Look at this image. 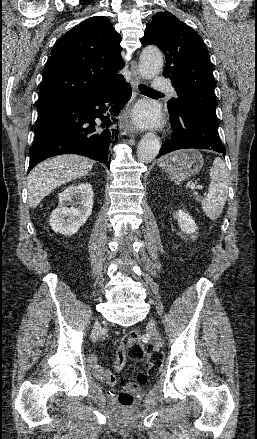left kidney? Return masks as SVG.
Segmentation results:
<instances>
[{
    "label": "left kidney",
    "instance_id": "5707ae66",
    "mask_svg": "<svg viewBox=\"0 0 257 439\" xmlns=\"http://www.w3.org/2000/svg\"><path fill=\"white\" fill-rule=\"evenodd\" d=\"M176 218L182 233L196 237L197 226L188 214L179 210L176 213Z\"/></svg>",
    "mask_w": 257,
    "mask_h": 439
}]
</instances>
